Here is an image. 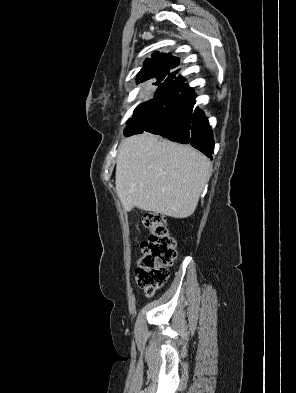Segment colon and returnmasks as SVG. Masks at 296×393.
I'll return each instance as SVG.
<instances>
[{"label":"colon","mask_w":296,"mask_h":393,"mask_svg":"<svg viewBox=\"0 0 296 393\" xmlns=\"http://www.w3.org/2000/svg\"><path fill=\"white\" fill-rule=\"evenodd\" d=\"M142 223L148 229L149 237L140 245L136 279L147 295H153L168 278V267L176 257V242L164 215L146 212L142 215Z\"/></svg>","instance_id":"colon-1"}]
</instances>
